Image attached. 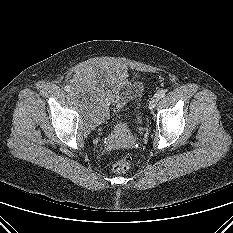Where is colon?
Returning <instances> with one entry per match:
<instances>
[{"label": "colon", "instance_id": "obj_1", "mask_svg": "<svg viewBox=\"0 0 233 233\" xmlns=\"http://www.w3.org/2000/svg\"><path fill=\"white\" fill-rule=\"evenodd\" d=\"M130 167L131 162L127 158H122L113 165L112 170L114 173L121 174L127 172Z\"/></svg>", "mask_w": 233, "mask_h": 233}]
</instances>
